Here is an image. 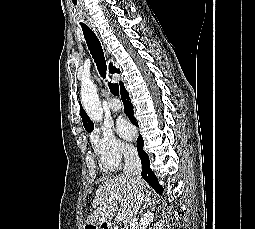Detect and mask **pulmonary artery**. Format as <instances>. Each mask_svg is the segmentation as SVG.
<instances>
[{"label":"pulmonary artery","instance_id":"e3ab8cb5","mask_svg":"<svg viewBox=\"0 0 255 229\" xmlns=\"http://www.w3.org/2000/svg\"><path fill=\"white\" fill-rule=\"evenodd\" d=\"M108 106L112 111H119L121 108V104H120L119 100L115 97L109 98Z\"/></svg>","mask_w":255,"mask_h":229}]
</instances>
